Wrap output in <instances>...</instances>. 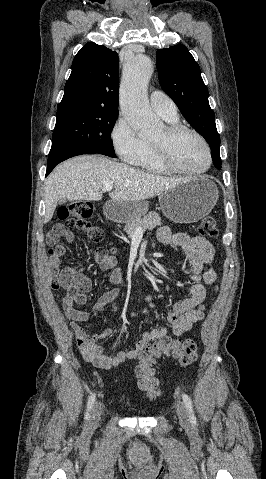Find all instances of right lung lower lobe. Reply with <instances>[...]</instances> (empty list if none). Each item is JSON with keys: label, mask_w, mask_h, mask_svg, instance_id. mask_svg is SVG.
Listing matches in <instances>:
<instances>
[{"label": "right lung lower lobe", "mask_w": 266, "mask_h": 479, "mask_svg": "<svg viewBox=\"0 0 266 479\" xmlns=\"http://www.w3.org/2000/svg\"><path fill=\"white\" fill-rule=\"evenodd\" d=\"M82 154H97V153H89V152H81L69 148H52L49 153L48 162H47V171L46 176L53 170V168L59 164L60 162Z\"/></svg>", "instance_id": "obj_1"}]
</instances>
